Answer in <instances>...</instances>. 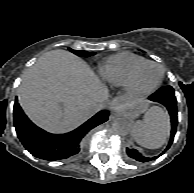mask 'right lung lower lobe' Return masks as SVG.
<instances>
[{"label": "right lung lower lobe", "mask_w": 194, "mask_h": 193, "mask_svg": "<svg viewBox=\"0 0 194 193\" xmlns=\"http://www.w3.org/2000/svg\"><path fill=\"white\" fill-rule=\"evenodd\" d=\"M14 126L23 146L35 157L49 161L66 159L80 151L81 141L94 127L108 119V111H100L76 130L65 135H53L33 124L16 101Z\"/></svg>", "instance_id": "right-lung-lower-lobe-1"}]
</instances>
